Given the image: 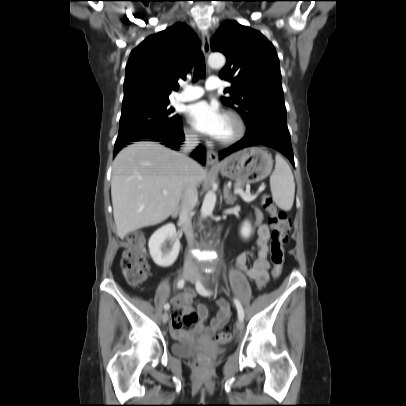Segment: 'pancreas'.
Listing matches in <instances>:
<instances>
[{
    "label": "pancreas",
    "instance_id": "pancreas-1",
    "mask_svg": "<svg viewBox=\"0 0 406 406\" xmlns=\"http://www.w3.org/2000/svg\"><path fill=\"white\" fill-rule=\"evenodd\" d=\"M236 186H237V187H241V186H243V185L236 184ZM249 196H250V197H252V198H253V200L256 198V196H255V195H254V196H252V195H250V194H249ZM243 200H244L245 202H251V201H252V200H251V201H247V200H245V199H243Z\"/></svg>",
    "mask_w": 406,
    "mask_h": 406
}]
</instances>
